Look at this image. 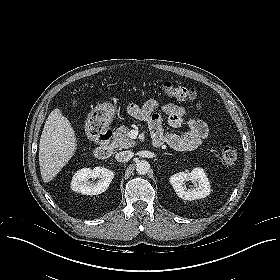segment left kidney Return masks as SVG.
Segmentation results:
<instances>
[{"label": "left kidney", "instance_id": "left-kidney-1", "mask_svg": "<svg viewBox=\"0 0 280 280\" xmlns=\"http://www.w3.org/2000/svg\"><path fill=\"white\" fill-rule=\"evenodd\" d=\"M194 182V187L185 186V181ZM170 184L173 186L178 197L184 200H197L210 195V182L202 168H194L191 173L179 172L170 177Z\"/></svg>", "mask_w": 280, "mask_h": 280}]
</instances>
